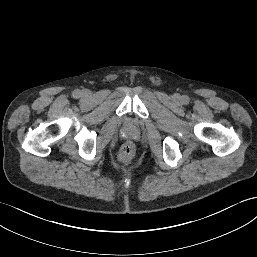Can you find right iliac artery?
I'll use <instances>...</instances> for the list:
<instances>
[{
	"mask_svg": "<svg viewBox=\"0 0 257 257\" xmlns=\"http://www.w3.org/2000/svg\"><path fill=\"white\" fill-rule=\"evenodd\" d=\"M80 91L79 90H74V92H73V97L74 98H78L79 96H80Z\"/></svg>",
	"mask_w": 257,
	"mask_h": 257,
	"instance_id": "obj_1",
	"label": "right iliac artery"
}]
</instances>
